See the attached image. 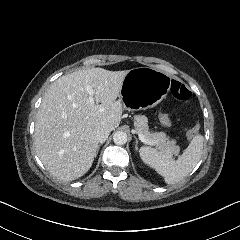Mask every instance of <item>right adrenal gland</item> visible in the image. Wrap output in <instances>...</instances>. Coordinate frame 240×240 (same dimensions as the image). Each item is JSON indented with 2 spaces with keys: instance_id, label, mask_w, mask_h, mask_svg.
I'll return each instance as SVG.
<instances>
[{
  "instance_id": "obj_1",
  "label": "right adrenal gland",
  "mask_w": 240,
  "mask_h": 240,
  "mask_svg": "<svg viewBox=\"0 0 240 240\" xmlns=\"http://www.w3.org/2000/svg\"><path fill=\"white\" fill-rule=\"evenodd\" d=\"M99 148H100V145H99V147H98V150H99ZM97 154H98V151H97Z\"/></svg>"
}]
</instances>
